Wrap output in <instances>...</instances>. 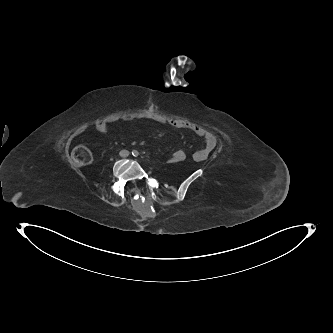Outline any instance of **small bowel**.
Segmentation results:
<instances>
[{
    "label": "small bowel",
    "mask_w": 333,
    "mask_h": 333,
    "mask_svg": "<svg viewBox=\"0 0 333 333\" xmlns=\"http://www.w3.org/2000/svg\"><path fill=\"white\" fill-rule=\"evenodd\" d=\"M141 119L153 120L159 124L170 125L176 129H187V130L192 131L198 137L202 138L203 143H204L203 147L200 148L199 150H197L196 152H194L192 155V159L196 162L205 161L216 146V137L212 132L208 131L206 128H204L198 124L192 123L187 120L169 119V118H166L165 116L159 115V114H149V115L134 114V115H130V116L126 117L124 120L125 121H135V120H141ZM109 123L110 122L105 121V120H99L96 122L95 128L97 131H99L101 133H105V132H107V130L109 128ZM169 162L177 163V162L171 161V159H169Z\"/></svg>",
    "instance_id": "1"
}]
</instances>
